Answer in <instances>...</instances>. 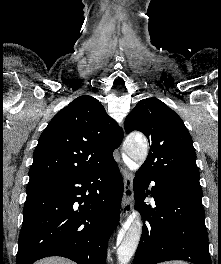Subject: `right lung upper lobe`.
<instances>
[{
	"instance_id": "1",
	"label": "right lung upper lobe",
	"mask_w": 221,
	"mask_h": 264,
	"mask_svg": "<svg viewBox=\"0 0 221 264\" xmlns=\"http://www.w3.org/2000/svg\"><path fill=\"white\" fill-rule=\"evenodd\" d=\"M123 131L89 95L60 110L42 132L33 154L28 186L90 172L113 159Z\"/></svg>"
}]
</instances>
